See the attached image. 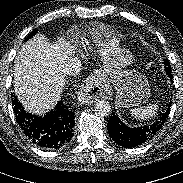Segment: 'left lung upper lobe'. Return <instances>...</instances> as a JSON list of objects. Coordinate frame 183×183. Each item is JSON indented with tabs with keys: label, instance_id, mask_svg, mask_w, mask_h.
<instances>
[{
	"label": "left lung upper lobe",
	"instance_id": "obj_1",
	"mask_svg": "<svg viewBox=\"0 0 183 183\" xmlns=\"http://www.w3.org/2000/svg\"><path fill=\"white\" fill-rule=\"evenodd\" d=\"M164 63H165V66H166V67H165V70H166L168 67H170V65H169V61H168V60H165V62H164Z\"/></svg>",
	"mask_w": 183,
	"mask_h": 183
}]
</instances>
